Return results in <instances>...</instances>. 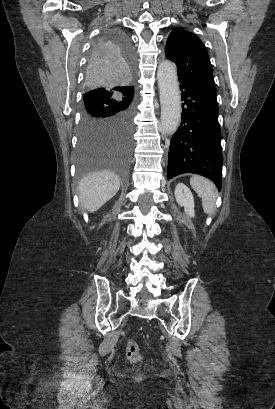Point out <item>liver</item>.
Returning a JSON list of instances; mask_svg holds the SVG:
<instances>
[{
	"label": "liver",
	"instance_id": "6515ba94",
	"mask_svg": "<svg viewBox=\"0 0 275 409\" xmlns=\"http://www.w3.org/2000/svg\"><path fill=\"white\" fill-rule=\"evenodd\" d=\"M119 188L120 178L112 170H101L84 176L78 184L81 205L90 213H94L105 205Z\"/></svg>",
	"mask_w": 275,
	"mask_h": 409
}]
</instances>
